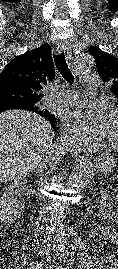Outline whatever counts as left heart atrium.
Masks as SVG:
<instances>
[{
    "label": "left heart atrium",
    "mask_w": 118,
    "mask_h": 269,
    "mask_svg": "<svg viewBox=\"0 0 118 269\" xmlns=\"http://www.w3.org/2000/svg\"><path fill=\"white\" fill-rule=\"evenodd\" d=\"M111 116L108 105L103 101H81L63 114L66 127L81 140L103 138Z\"/></svg>",
    "instance_id": "1"
}]
</instances>
